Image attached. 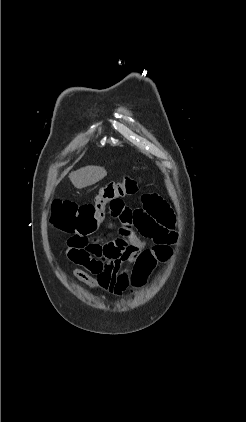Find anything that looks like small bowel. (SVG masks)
<instances>
[{
    "instance_id": "small-bowel-1",
    "label": "small bowel",
    "mask_w": 246,
    "mask_h": 422,
    "mask_svg": "<svg viewBox=\"0 0 246 422\" xmlns=\"http://www.w3.org/2000/svg\"><path fill=\"white\" fill-rule=\"evenodd\" d=\"M142 201L141 208L131 209L123 204L120 209L110 210V217L121 225L118 238L101 240L75 234L68 240L66 256L77 265L70 271L73 277L94 290L120 297L131 286L135 257L152 249L145 246L136 231L152 240L153 248L170 252V245L177 238L172 210L157 194H147Z\"/></svg>"
}]
</instances>
